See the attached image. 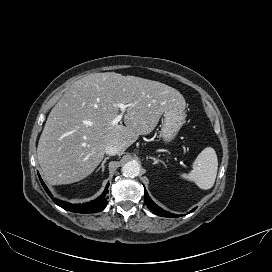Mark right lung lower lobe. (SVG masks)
I'll use <instances>...</instances> for the list:
<instances>
[{
	"mask_svg": "<svg viewBox=\"0 0 272 272\" xmlns=\"http://www.w3.org/2000/svg\"><path fill=\"white\" fill-rule=\"evenodd\" d=\"M38 176H39V179H40L44 189L46 190L47 194L53 199L50 191L48 190V188L46 187V185L42 181L39 174H38ZM108 186H109V184L106 186V188H105L104 192L101 194V196H99L97 199H95L93 201H90L89 203L70 204L65 201H60L57 199H53V200L55 201V203L57 205H59L60 207L64 208L65 210H68V211L78 212V213H96V212L102 211L107 205L106 194L108 193Z\"/></svg>",
	"mask_w": 272,
	"mask_h": 272,
	"instance_id": "obj_1",
	"label": "right lung lower lobe"
}]
</instances>
